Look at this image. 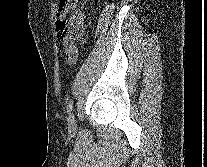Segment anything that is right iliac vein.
<instances>
[{"label":"right iliac vein","instance_id":"right-iliac-vein-1","mask_svg":"<svg viewBox=\"0 0 207 167\" xmlns=\"http://www.w3.org/2000/svg\"><path fill=\"white\" fill-rule=\"evenodd\" d=\"M68 126L71 132H74L76 130V121L74 114H70L68 119Z\"/></svg>","mask_w":207,"mask_h":167}]
</instances>
